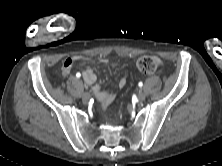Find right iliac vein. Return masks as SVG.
<instances>
[{
  "label": "right iliac vein",
  "mask_w": 222,
  "mask_h": 166,
  "mask_svg": "<svg viewBox=\"0 0 222 166\" xmlns=\"http://www.w3.org/2000/svg\"><path fill=\"white\" fill-rule=\"evenodd\" d=\"M89 98H90V94H89L88 92L83 93L82 99H83L84 101H88Z\"/></svg>",
  "instance_id": "63e3f726"
}]
</instances>
